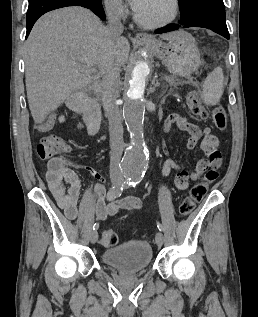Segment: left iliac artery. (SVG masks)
<instances>
[{
	"label": "left iliac artery",
	"mask_w": 258,
	"mask_h": 317,
	"mask_svg": "<svg viewBox=\"0 0 258 317\" xmlns=\"http://www.w3.org/2000/svg\"><path fill=\"white\" fill-rule=\"evenodd\" d=\"M141 180H142V177H132L129 179L130 184L133 187H136L141 182ZM156 224H157V228L159 229V231L162 232L163 231L162 224L159 221H156Z\"/></svg>",
	"instance_id": "obj_1"
}]
</instances>
